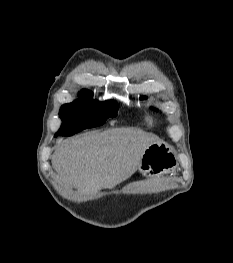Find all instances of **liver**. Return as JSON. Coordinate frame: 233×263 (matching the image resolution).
Returning <instances> with one entry per match:
<instances>
[{
    "label": "liver",
    "mask_w": 233,
    "mask_h": 263,
    "mask_svg": "<svg viewBox=\"0 0 233 263\" xmlns=\"http://www.w3.org/2000/svg\"><path fill=\"white\" fill-rule=\"evenodd\" d=\"M155 142H159L156 136L136 128L89 132L58 146L52 166L60 182L75 187L86 200L130 178L145 149Z\"/></svg>",
    "instance_id": "6515ba94"
}]
</instances>
